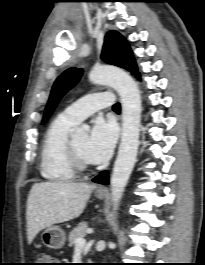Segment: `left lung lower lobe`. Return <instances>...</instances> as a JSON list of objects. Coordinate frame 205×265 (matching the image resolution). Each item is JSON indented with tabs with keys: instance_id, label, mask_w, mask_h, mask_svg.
<instances>
[{
	"instance_id": "left-lung-lower-lobe-1",
	"label": "left lung lower lobe",
	"mask_w": 205,
	"mask_h": 265,
	"mask_svg": "<svg viewBox=\"0 0 205 265\" xmlns=\"http://www.w3.org/2000/svg\"><path fill=\"white\" fill-rule=\"evenodd\" d=\"M137 77L140 78L139 75H137ZM92 181L105 185L108 184V172L107 171L102 172L101 174L96 176Z\"/></svg>"
}]
</instances>
